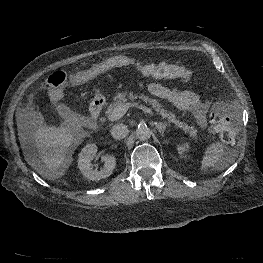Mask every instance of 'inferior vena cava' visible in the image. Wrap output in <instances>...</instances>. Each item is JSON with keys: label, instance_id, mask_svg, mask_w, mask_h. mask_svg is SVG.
Masks as SVG:
<instances>
[{"label": "inferior vena cava", "instance_id": "1", "mask_svg": "<svg viewBox=\"0 0 263 263\" xmlns=\"http://www.w3.org/2000/svg\"><path fill=\"white\" fill-rule=\"evenodd\" d=\"M111 135L116 140H121L126 137L128 134V128L124 124H117L112 127L111 129Z\"/></svg>", "mask_w": 263, "mask_h": 263}]
</instances>
